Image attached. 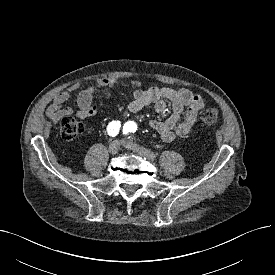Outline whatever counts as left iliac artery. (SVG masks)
Returning <instances> with one entry per match:
<instances>
[{"label":"left iliac artery","mask_w":275,"mask_h":275,"mask_svg":"<svg viewBox=\"0 0 275 275\" xmlns=\"http://www.w3.org/2000/svg\"><path fill=\"white\" fill-rule=\"evenodd\" d=\"M137 129V125L133 121H128L123 126V132L125 134L134 133Z\"/></svg>","instance_id":"obj_1"}]
</instances>
